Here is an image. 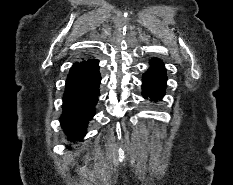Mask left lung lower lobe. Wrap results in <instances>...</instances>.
Returning <instances> with one entry per match:
<instances>
[{
    "label": "left lung lower lobe",
    "instance_id": "left-lung-lower-lobe-1",
    "mask_svg": "<svg viewBox=\"0 0 233 185\" xmlns=\"http://www.w3.org/2000/svg\"><path fill=\"white\" fill-rule=\"evenodd\" d=\"M166 81L164 64L157 59L152 60L151 67L143 74V96L154 101L162 99L165 94Z\"/></svg>",
    "mask_w": 233,
    "mask_h": 185
}]
</instances>
